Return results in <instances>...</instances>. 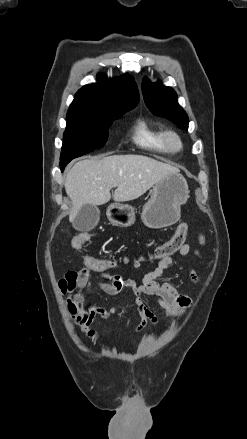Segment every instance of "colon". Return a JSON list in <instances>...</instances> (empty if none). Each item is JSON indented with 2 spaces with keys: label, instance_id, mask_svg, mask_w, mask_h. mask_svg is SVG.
I'll use <instances>...</instances> for the list:
<instances>
[{
  "label": "colon",
  "instance_id": "5ec220e1",
  "mask_svg": "<svg viewBox=\"0 0 247 439\" xmlns=\"http://www.w3.org/2000/svg\"><path fill=\"white\" fill-rule=\"evenodd\" d=\"M187 232L188 225L185 222L180 223L177 226L173 236L167 242L158 246L154 250L152 258L162 260L171 257L173 254L178 252L184 245ZM90 238L91 234L89 232H80L76 234L71 242L72 248L76 251H80L85 243L90 240ZM81 258L86 268L92 272H104L115 266V262L107 258H100L86 254H82Z\"/></svg>",
  "mask_w": 247,
  "mask_h": 439
}]
</instances>
